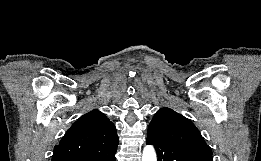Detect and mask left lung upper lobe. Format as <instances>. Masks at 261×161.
I'll list each match as a JSON object with an SVG mask.
<instances>
[{
    "instance_id": "5c2ea615",
    "label": "left lung upper lobe",
    "mask_w": 261,
    "mask_h": 161,
    "mask_svg": "<svg viewBox=\"0 0 261 161\" xmlns=\"http://www.w3.org/2000/svg\"><path fill=\"white\" fill-rule=\"evenodd\" d=\"M147 139L169 145L189 147L212 154L198 129L183 115L161 108L148 127Z\"/></svg>"
}]
</instances>
